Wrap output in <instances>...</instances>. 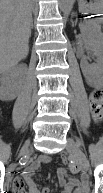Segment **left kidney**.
Instances as JSON below:
<instances>
[{
    "label": "left kidney",
    "instance_id": "1",
    "mask_svg": "<svg viewBox=\"0 0 103 193\" xmlns=\"http://www.w3.org/2000/svg\"><path fill=\"white\" fill-rule=\"evenodd\" d=\"M86 48L96 56V63L89 65L86 61L80 63L84 77L89 80L103 78V46L101 42L85 40Z\"/></svg>",
    "mask_w": 103,
    "mask_h": 193
}]
</instances>
